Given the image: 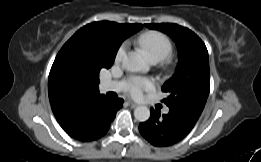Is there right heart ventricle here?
Returning <instances> with one entry per match:
<instances>
[{
	"mask_svg": "<svg viewBox=\"0 0 261 162\" xmlns=\"http://www.w3.org/2000/svg\"><path fill=\"white\" fill-rule=\"evenodd\" d=\"M138 44L146 50L150 59L161 61L167 58L173 49L170 38L158 31L142 33L137 38Z\"/></svg>",
	"mask_w": 261,
	"mask_h": 162,
	"instance_id": "right-heart-ventricle-1",
	"label": "right heart ventricle"
}]
</instances>
